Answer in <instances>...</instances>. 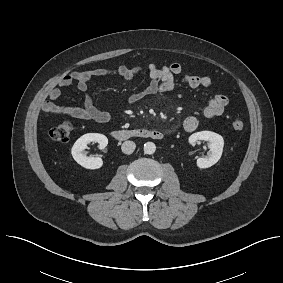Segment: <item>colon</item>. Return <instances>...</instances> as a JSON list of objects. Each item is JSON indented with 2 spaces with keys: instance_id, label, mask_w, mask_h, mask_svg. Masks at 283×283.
<instances>
[{
  "instance_id": "5ec220e1",
  "label": "colon",
  "mask_w": 283,
  "mask_h": 283,
  "mask_svg": "<svg viewBox=\"0 0 283 283\" xmlns=\"http://www.w3.org/2000/svg\"><path fill=\"white\" fill-rule=\"evenodd\" d=\"M232 128L235 131H241L244 128V122L241 119H235L232 122ZM72 134V125L69 122H62L54 126L49 133L50 139L55 142H67Z\"/></svg>"
}]
</instances>
